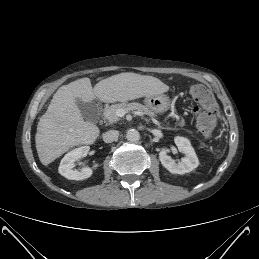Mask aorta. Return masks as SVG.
Segmentation results:
<instances>
[{
  "label": "aorta",
  "instance_id": "obj_1",
  "mask_svg": "<svg viewBox=\"0 0 259 259\" xmlns=\"http://www.w3.org/2000/svg\"><path fill=\"white\" fill-rule=\"evenodd\" d=\"M126 138L130 142H138L140 140V133L135 129H130L126 133Z\"/></svg>",
  "mask_w": 259,
  "mask_h": 259
}]
</instances>
